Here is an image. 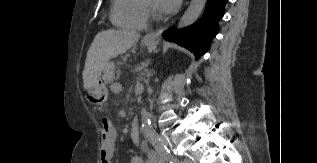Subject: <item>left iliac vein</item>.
<instances>
[{"label":"left iliac vein","instance_id":"1","mask_svg":"<svg viewBox=\"0 0 317 163\" xmlns=\"http://www.w3.org/2000/svg\"><path fill=\"white\" fill-rule=\"evenodd\" d=\"M185 163H192L190 160H185Z\"/></svg>","mask_w":317,"mask_h":163}]
</instances>
